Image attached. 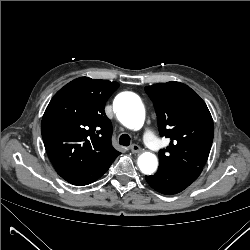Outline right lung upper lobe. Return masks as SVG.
I'll return each mask as SVG.
<instances>
[{"instance_id":"cb5924a9","label":"right lung upper lobe","mask_w":250,"mask_h":250,"mask_svg":"<svg viewBox=\"0 0 250 250\" xmlns=\"http://www.w3.org/2000/svg\"><path fill=\"white\" fill-rule=\"evenodd\" d=\"M117 82L77 78L61 88L47 106L41 132L59 175L91 169L119 152L111 144L105 103Z\"/></svg>"}]
</instances>
